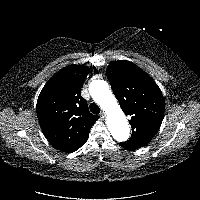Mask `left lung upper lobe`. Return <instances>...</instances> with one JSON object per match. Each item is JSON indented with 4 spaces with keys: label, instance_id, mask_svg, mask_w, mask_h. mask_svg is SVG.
I'll list each match as a JSON object with an SVG mask.
<instances>
[{
    "label": "left lung upper lobe",
    "instance_id": "obj_1",
    "mask_svg": "<svg viewBox=\"0 0 200 200\" xmlns=\"http://www.w3.org/2000/svg\"><path fill=\"white\" fill-rule=\"evenodd\" d=\"M107 77L132 127V136L123 144L134 150L145 146L156 135L164 116V99L155 81L127 60L112 61Z\"/></svg>",
    "mask_w": 200,
    "mask_h": 200
}]
</instances>
